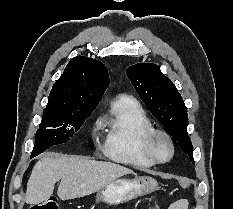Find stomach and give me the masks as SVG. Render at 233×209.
Instances as JSON below:
<instances>
[{
    "instance_id": "obj_1",
    "label": "stomach",
    "mask_w": 233,
    "mask_h": 209,
    "mask_svg": "<svg viewBox=\"0 0 233 209\" xmlns=\"http://www.w3.org/2000/svg\"><path fill=\"white\" fill-rule=\"evenodd\" d=\"M158 189L157 181L150 176L117 178L96 194V202L118 205L147 195Z\"/></svg>"
}]
</instances>
